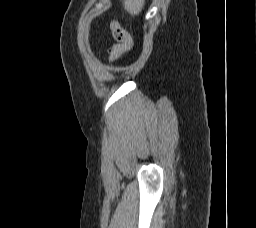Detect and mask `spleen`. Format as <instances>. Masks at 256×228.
Masks as SVG:
<instances>
[{
  "label": "spleen",
  "instance_id": "1",
  "mask_svg": "<svg viewBox=\"0 0 256 228\" xmlns=\"http://www.w3.org/2000/svg\"><path fill=\"white\" fill-rule=\"evenodd\" d=\"M145 0H124L123 5L124 9L130 13V15H138L143 6H144Z\"/></svg>",
  "mask_w": 256,
  "mask_h": 228
}]
</instances>
